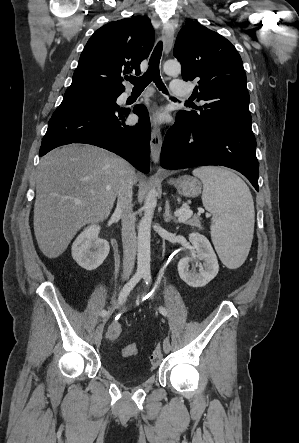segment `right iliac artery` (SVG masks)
<instances>
[{
    "label": "right iliac artery",
    "mask_w": 299,
    "mask_h": 443,
    "mask_svg": "<svg viewBox=\"0 0 299 443\" xmlns=\"http://www.w3.org/2000/svg\"><path fill=\"white\" fill-rule=\"evenodd\" d=\"M143 277V273L141 272H137L122 288V290L120 291L119 297H118V301L119 304H123L126 299L127 296L129 295V293L131 292V290L135 287V285L140 281V279ZM108 311L107 310H102L100 315L102 317H107L108 316Z\"/></svg>",
    "instance_id": "1"
}]
</instances>
